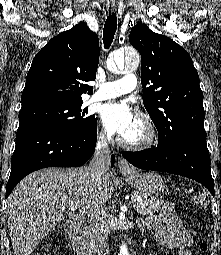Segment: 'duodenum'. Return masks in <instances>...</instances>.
Listing matches in <instances>:
<instances>
[{"mask_svg": "<svg viewBox=\"0 0 221 255\" xmlns=\"http://www.w3.org/2000/svg\"><path fill=\"white\" fill-rule=\"evenodd\" d=\"M66 232L72 248L78 255H96L89 246L88 238L82 228L80 217H73L68 220Z\"/></svg>", "mask_w": 221, "mask_h": 255, "instance_id": "obj_1", "label": "duodenum"}]
</instances>
